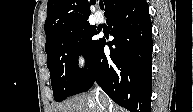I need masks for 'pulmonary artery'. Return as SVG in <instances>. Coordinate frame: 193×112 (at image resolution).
Segmentation results:
<instances>
[{
  "label": "pulmonary artery",
  "mask_w": 193,
  "mask_h": 112,
  "mask_svg": "<svg viewBox=\"0 0 193 112\" xmlns=\"http://www.w3.org/2000/svg\"><path fill=\"white\" fill-rule=\"evenodd\" d=\"M103 16L100 14V13H97L96 15H95V21H96V23L97 24H101V23H103Z\"/></svg>",
  "instance_id": "1"
}]
</instances>
